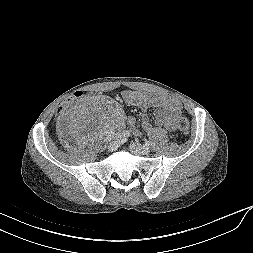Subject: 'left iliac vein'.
I'll use <instances>...</instances> for the list:
<instances>
[{
    "mask_svg": "<svg viewBox=\"0 0 253 253\" xmlns=\"http://www.w3.org/2000/svg\"><path fill=\"white\" fill-rule=\"evenodd\" d=\"M129 148L130 151L135 155H147L150 152L147 146L141 145L139 143H131Z\"/></svg>",
    "mask_w": 253,
    "mask_h": 253,
    "instance_id": "left-iliac-vein-1",
    "label": "left iliac vein"
}]
</instances>
